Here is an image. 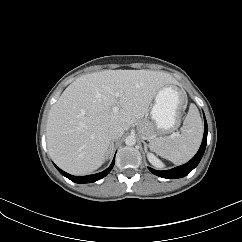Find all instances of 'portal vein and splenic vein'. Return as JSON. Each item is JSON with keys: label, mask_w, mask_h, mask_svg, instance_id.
<instances>
[{"label": "portal vein and splenic vein", "mask_w": 242, "mask_h": 242, "mask_svg": "<svg viewBox=\"0 0 242 242\" xmlns=\"http://www.w3.org/2000/svg\"><path fill=\"white\" fill-rule=\"evenodd\" d=\"M113 94H114L116 97H119V96L121 95L119 92H114ZM112 111H113L114 113L118 112V111H119V107H118V106H114V107L112 108Z\"/></svg>", "instance_id": "portal-vein-and-splenic-vein-1"}]
</instances>
